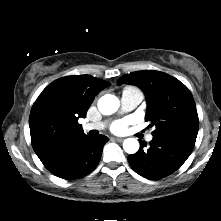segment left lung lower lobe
Instances as JSON below:
<instances>
[{"label":"left lung lower lobe","mask_w":221,"mask_h":221,"mask_svg":"<svg viewBox=\"0 0 221 221\" xmlns=\"http://www.w3.org/2000/svg\"><path fill=\"white\" fill-rule=\"evenodd\" d=\"M139 151L128 156L131 167L139 175L157 180L176 171L191 154L194 144L175 136H153L149 148L141 141Z\"/></svg>","instance_id":"obj_1"}]
</instances>
